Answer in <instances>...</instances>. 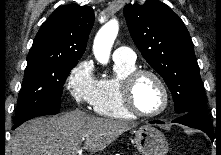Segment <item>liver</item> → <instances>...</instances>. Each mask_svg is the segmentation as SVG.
<instances>
[{
    "instance_id": "liver-1",
    "label": "liver",
    "mask_w": 221,
    "mask_h": 155,
    "mask_svg": "<svg viewBox=\"0 0 221 155\" xmlns=\"http://www.w3.org/2000/svg\"><path fill=\"white\" fill-rule=\"evenodd\" d=\"M136 126L135 122L99 118L75 110L21 125L11 137V151L12 155H71L84 142V149L95 153Z\"/></svg>"
}]
</instances>
